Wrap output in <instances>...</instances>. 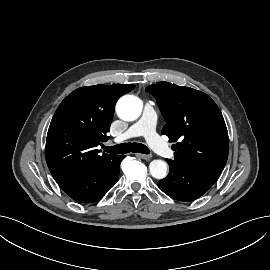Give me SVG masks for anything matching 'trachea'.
<instances>
[{
	"label": "trachea",
	"mask_w": 270,
	"mask_h": 270,
	"mask_svg": "<svg viewBox=\"0 0 270 270\" xmlns=\"http://www.w3.org/2000/svg\"><path fill=\"white\" fill-rule=\"evenodd\" d=\"M104 150L110 154H126L129 152L149 154V149L140 143H122L111 147H104Z\"/></svg>",
	"instance_id": "1"
}]
</instances>
